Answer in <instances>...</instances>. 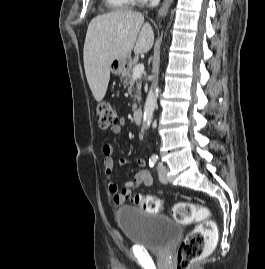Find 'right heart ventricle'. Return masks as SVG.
Listing matches in <instances>:
<instances>
[{
	"label": "right heart ventricle",
	"mask_w": 265,
	"mask_h": 269,
	"mask_svg": "<svg viewBox=\"0 0 265 269\" xmlns=\"http://www.w3.org/2000/svg\"><path fill=\"white\" fill-rule=\"evenodd\" d=\"M108 5L114 10H124L130 8L134 0H105Z\"/></svg>",
	"instance_id": "1"
}]
</instances>
